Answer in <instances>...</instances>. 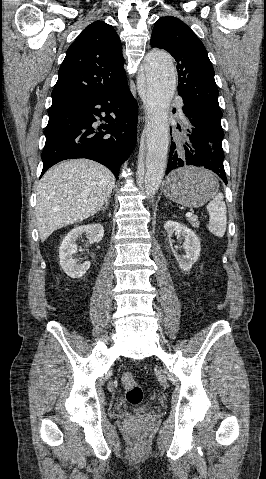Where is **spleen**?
<instances>
[{
    "mask_svg": "<svg viewBox=\"0 0 266 479\" xmlns=\"http://www.w3.org/2000/svg\"><path fill=\"white\" fill-rule=\"evenodd\" d=\"M223 198V194L219 192L207 205L210 216L207 229L217 237H223L226 232L227 210Z\"/></svg>",
    "mask_w": 266,
    "mask_h": 479,
    "instance_id": "1",
    "label": "spleen"
}]
</instances>
